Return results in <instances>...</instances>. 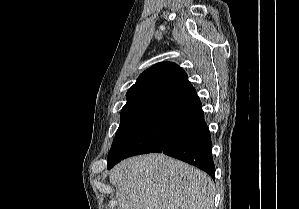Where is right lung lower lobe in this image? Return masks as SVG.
Instances as JSON below:
<instances>
[{
  "label": "right lung lower lobe",
  "mask_w": 299,
  "mask_h": 209,
  "mask_svg": "<svg viewBox=\"0 0 299 209\" xmlns=\"http://www.w3.org/2000/svg\"><path fill=\"white\" fill-rule=\"evenodd\" d=\"M152 152L187 162L214 178L209 128L190 83L158 105L137 133L108 161V169L127 157Z\"/></svg>",
  "instance_id": "98d812e1"
}]
</instances>
